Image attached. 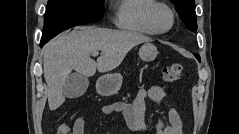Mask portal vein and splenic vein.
<instances>
[{
    "label": "portal vein and splenic vein",
    "instance_id": "portal-vein-and-splenic-vein-1",
    "mask_svg": "<svg viewBox=\"0 0 239 134\" xmlns=\"http://www.w3.org/2000/svg\"><path fill=\"white\" fill-rule=\"evenodd\" d=\"M98 54H99L98 51H96V52L93 53L94 56H97Z\"/></svg>",
    "mask_w": 239,
    "mask_h": 134
}]
</instances>
